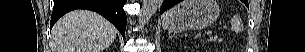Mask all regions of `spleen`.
Returning <instances> with one entry per match:
<instances>
[{
  "mask_svg": "<svg viewBox=\"0 0 305 52\" xmlns=\"http://www.w3.org/2000/svg\"><path fill=\"white\" fill-rule=\"evenodd\" d=\"M231 24H232V29H233L234 31H238V30H239V28H240V23H239V20H238L237 18L233 17V18L231 19Z\"/></svg>",
  "mask_w": 305,
  "mask_h": 52,
  "instance_id": "3e777b00",
  "label": "spleen"
}]
</instances>
